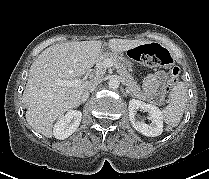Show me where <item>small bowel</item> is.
Segmentation results:
<instances>
[{
  "instance_id": "c3829d8e",
  "label": "small bowel",
  "mask_w": 209,
  "mask_h": 179,
  "mask_svg": "<svg viewBox=\"0 0 209 179\" xmlns=\"http://www.w3.org/2000/svg\"><path fill=\"white\" fill-rule=\"evenodd\" d=\"M166 75L163 71L150 73L144 81V91L147 97L154 103L159 104L164 98Z\"/></svg>"
}]
</instances>
